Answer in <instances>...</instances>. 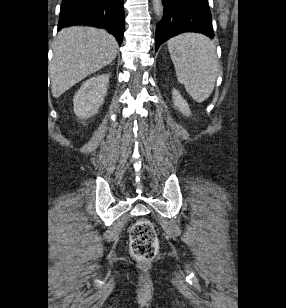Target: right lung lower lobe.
I'll list each match as a JSON object with an SVG mask.
<instances>
[{"instance_id":"obj_1","label":"right lung lower lobe","mask_w":286,"mask_h":308,"mask_svg":"<svg viewBox=\"0 0 286 308\" xmlns=\"http://www.w3.org/2000/svg\"><path fill=\"white\" fill-rule=\"evenodd\" d=\"M74 25L106 29L120 45L125 28L123 0H63L58 30Z\"/></svg>"}]
</instances>
